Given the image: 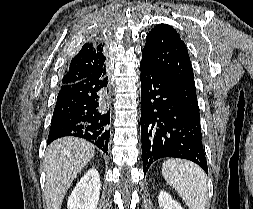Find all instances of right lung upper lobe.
I'll list each match as a JSON object with an SVG mask.
<instances>
[{"mask_svg": "<svg viewBox=\"0 0 253 209\" xmlns=\"http://www.w3.org/2000/svg\"><path fill=\"white\" fill-rule=\"evenodd\" d=\"M104 44L86 43L79 53L72 58L61 85L73 84L91 75L106 71Z\"/></svg>", "mask_w": 253, "mask_h": 209, "instance_id": "right-lung-upper-lobe-1", "label": "right lung upper lobe"}]
</instances>
